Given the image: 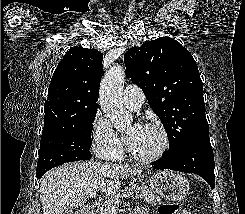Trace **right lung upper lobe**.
<instances>
[{"mask_svg":"<svg viewBox=\"0 0 245 214\" xmlns=\"http://www.w3.org/2000/svg\"><path fill=\"white\" fill-rule=\"evenodd\" d=\"M103 55L76 46L59 62L49 85L42 135L73 126L97 109Z\"/></svg>","mask_w":245,"mask_h":214,"instance_id":"obj_1","label":"right lung upper lobe"}]
</instances>
